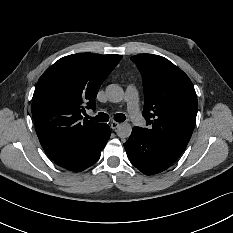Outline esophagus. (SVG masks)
<instances>
[{"instance_id": "34e87169", "label": "esophagus", "mask_w": 233, "mask_h": 233, "mask_svg": "<svg viewBox=\"0 0 233 233\" xmlns=\"http://www.w3.org/2000/svg\"><path fill=\"white\" fill-rule=\"evenodd\" d=\"M119 125H120V123L119 122H115V121H113V122L110 123V126H111V128L113 130H116L119 127Z\"/></svg>"}]
</instances>
